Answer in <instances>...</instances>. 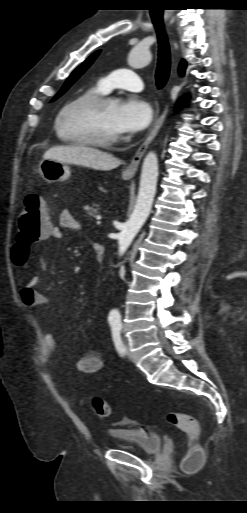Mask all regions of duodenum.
I'll return each instance as SVG.
<instances>
[{"label": "duodenum", "instance_id": "1", "mask_svg": "<svg viewBox=\"0 0 247 513\" xmlns=\"http://www.w3.org/2000/svg\"><path fill=\"white\" fill-rule=\"evenodd\" d=\"M93 248L95 252V258L98 262H102L105 257V248L104 245L101 242L94 241L93 242Z\"/></svg>", "mask_w": 247, "mask_h": 513}]
</instances>
